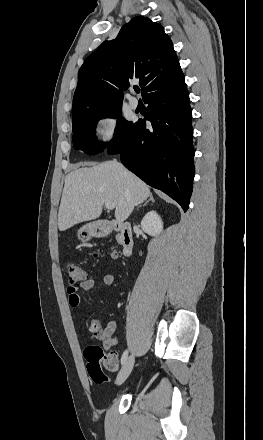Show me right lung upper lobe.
<instances>
[{
    "label": "right lung upper lobe",
    "instance_id": "right-lung-upper-lobe-1",
    "mask_svg": "<svg viewBox=\"0 0 263 440\" xmlns=\"http://www.w3.org/2000/svg\"><path fill=\"white\" fill-rule=\"evenodd\" d=\"M181 71L164 28L142 16L125 24L117 38L103 42L84 62L73 98L72 117L121 106L131 79L139 78L142 97Z\"/></svg>",
    "mask_w": 263,
    "mask_h": 440
}]
</instances>
